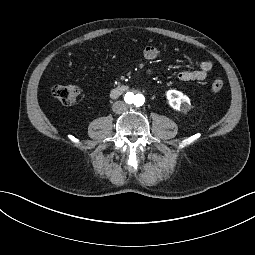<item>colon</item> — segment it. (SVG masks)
<instances>
[{
	"label": "colon",
	"mask_w": 255,
	"mask_h": 255,
	"mask_svg": "<svg viewBox=\"0 0 255 255\" xmlns=\"http://www.w3.org/2000/svg\"><path fill=\"white\" fill-rule=\"evenodd\" d=\"M224 87V82L221 79H215L211 83V90L219 92ZM79 88L74 85H56L51 88V94L54 98L64 105H72L77 101L79 96Z\"/></svg>",
	"instance_id": "1"
}]
</instances>
